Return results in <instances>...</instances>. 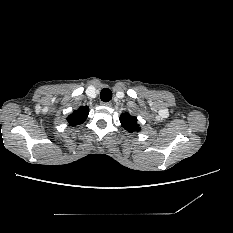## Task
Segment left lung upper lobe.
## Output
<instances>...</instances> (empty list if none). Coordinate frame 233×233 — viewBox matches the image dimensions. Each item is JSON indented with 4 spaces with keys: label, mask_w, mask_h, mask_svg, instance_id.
Wrapping results in <instances>:
<instances>
[{
    "label": "left lung upper lobe",
    "mask_w": 233,
    "mask_h": 233,
    "mask_svg": "<svg viewBox=\"0 0 233 233\" xmlns=\"http://www.w3.org/2000/svg\"><path fill=\"white\" fill-rule=\"evenodd\" d=\"M120 122L123 128H125L130 133L140 130V127L137 124V118L134 116H131L128 113L121 114Z\"/></svg>",
    "instance_id": "1"
}]
</instances>
